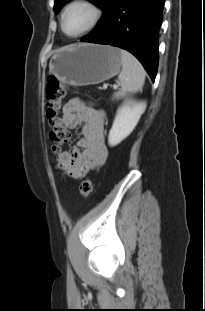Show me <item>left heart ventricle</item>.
<instances>
[{
  "label": "left heart ventricle",
  "instance_id": "b2bd125f",
  "mask_svg": "<svg viewBox=\"0 0 205 311\" xmlns=\"http://www.w3.org/2000/svg\"><path fill=\"white\" fill-rule=\"evenodd\" d=\"M92 11L84 5L72 6L65 17L64 27L68 34H77L84 30L91 22Z\"/></svg>",
  "mask_w": 205,
  "mask_h": 311
}]
</instances>
